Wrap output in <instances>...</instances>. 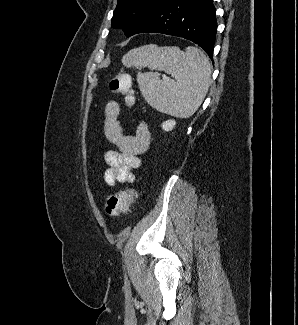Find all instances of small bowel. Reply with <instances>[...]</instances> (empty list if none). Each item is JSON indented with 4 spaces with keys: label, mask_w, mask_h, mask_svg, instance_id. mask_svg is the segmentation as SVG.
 <instances>
[{
    "label": "small bowel",
    "mask_w": 298,
    "mask_h": 325,
    "mask_svg": "<svg viewBox=\"0 0 298 325\" xmlns=\"http://www.w3.org/2000/svg\"><path fill=\"white\" fill-rule=\"evenodd\" d=\"M104 133L107 140L117 146L118 150H109L104 159L108 168L104 173V181L114 187L117 183H133V170L141 166L140 156L150 145V132L145 122L140 121L134 135H125L118 120L120 105L109 101L105 106Z\"/></svg>",
    "instance_id": "c3829d8e"
}]
</instances>
